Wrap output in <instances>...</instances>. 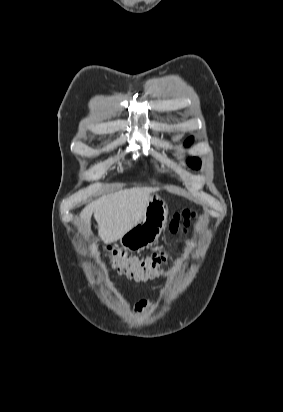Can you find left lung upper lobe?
<instances>
[{
    "mask_svg": "<svg viewBox=\"0 0 283 412\" xmlns=\"http://www.w3.org/2000/svg\"><path fill=\"white\" fill-rule=\"evenodd\" d=\"M193 142V137L189 138L186 140L185 145L188 146ZM188 164L194 168V169H198L201 166V161L198 158H191L188 160Z\"/></svg>",
    "mask_w": 283,
    "mask_h": 412,
    "instance_id": "5c2ea615",
    "label": "left lung upper lobe"
}]
</instances>
